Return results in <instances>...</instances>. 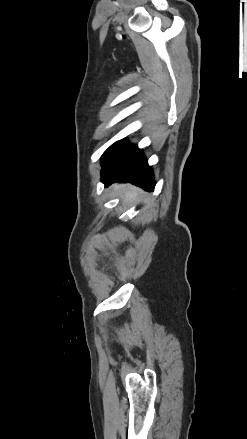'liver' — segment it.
Returning a JSON list of instances; mask_svg holds the SVG:
<instances>
[{
    "label": "liver",
    "instance_id": "obj_1",
    "mask_svg": "<svg viewBox=\"0 0 247 439\" xmlns=\"http://www.w3.org/2000/svg\"><path fill=\"white\" fill-rule=\"evenodd\" d=\"M118 186H113V189H118ZM140 193V190L138 188L135 187H127V188H123V190L121 191V197L123 199L124 202H134L138 195ZM147 199H144V202H146Z\"/></svg>",
    "mask_w": 247,
    "mask_h": 439
}]
</instances>
